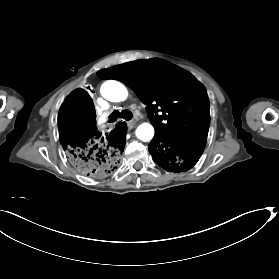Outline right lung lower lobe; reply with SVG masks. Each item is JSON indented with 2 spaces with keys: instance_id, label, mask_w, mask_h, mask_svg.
<instances>
[{
  "instance_id": "obj_1",
  "label": "right lung lower lobe",
  "mask_w": 279,
  "mask_h": 279,
  "mask_svg": "<svg viewBox=\"0 0 279 279\" xmlns=\"http://www.w3.org/2000/svg\"><path fill=\"white\" fill-rule=\"evenodd\" d=\"M95 116L89 94L74 90L59 109V139L75 170L105 177L118 168L125 147V126L117 123L112 131L102 133L97 130Z\"/></svg>"
}]
</instances>
